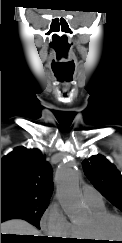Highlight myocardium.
Returning a JSON list of instances; mask_svg holds the SVG:
<instances>
[{
  "mask_svg": "<svg viewBox=\"0 0 122 243\" xmlns=\"http://www.w3.org/2000/svg\"><path fill=\"white\" fill-rule=\"evenodd\" d=\"M110 219H117L122 222V216L116 213L105 212L98 215H92L89 222L83 226L85 236L91 240L102 238L100 230Z\"/></svg>",
  "mask_w": 122,
  "mask_h": 243,
  "instance_id": "f54148a6",
  "label": "myocardium"
}]
</instances>
